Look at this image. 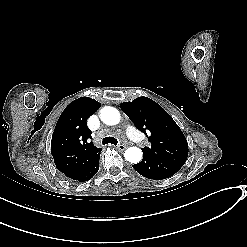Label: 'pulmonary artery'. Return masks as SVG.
<instances>
[{
    "mask_svg": "<svg viewBox=\"0 0 247 247\" xmlns=\"http://www.w3.org/2000/svg\"><path fill=\"white\" fill-rule=\"evenodd\" d=\"M134 127L135 126H133L131 124H126L125 125V131L130 132V133H133Z\"/></svg>",
    "mask_w": 247,
    "mask_h": 247,
    "instance_id": "pulmonary-artery-1",
    "label": "pulmonary artery"
}]
</instances>
